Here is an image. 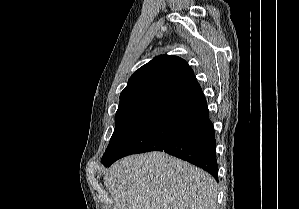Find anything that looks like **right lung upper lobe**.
I'll list each match as a JSON object with an SVG mask.
<instances>
[{"instance_id":"1","label":"right lung upper lobe","mask_w":299,"mask_h":209,"mask_svg":"<svg viewBox=\"0 0 299 209\" xmlns=\"http://www.w3.org/2000/svg\"><path fill=\"white\" fill-rule=\"evenodd\" d=\"M195 79L193 70L180 57L160 55L139 68L120 94V106L142 102L161 104Z\"/></svg>"}]
</instances>
